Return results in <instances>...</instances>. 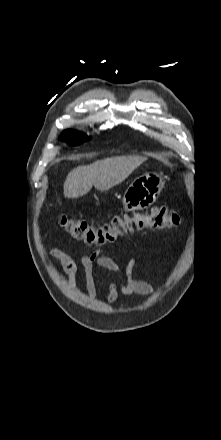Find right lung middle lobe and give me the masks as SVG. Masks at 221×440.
Listing matches in <instances>:
<instances>
[{"label":"right lung middle lobe","instance_id":"dd1d6c3e","mask_svg":"<svg viewBox=\"0 0 221 440\" xmlns=\"http://www.w3.org/2000/svg\"><path fill=\"white\" fill-rule=\"evenodd\" d=\"M60 139L68 141L70 145H77L86 140H89L90 138L87 136H83L79 132H76L74 130H65L60 136Z\"/></svg>","mask_w":221,"mask_h":440}]
</instances>
